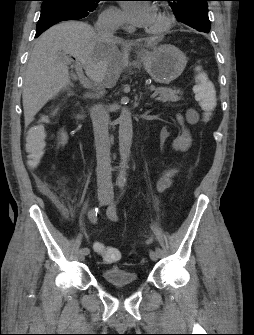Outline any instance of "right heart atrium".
Listing matches in <instances>:
<instances>
[{
  "label": "right heart atrium",
  "mask_w": 254,
  "mask_h": 335,
  "mask_svg": "<svg viewBox=\"0 0 254 335\" xmlns=\"http://www.w3.org/2000/svg\"><path fill=\"white\" fill-rule=\"evenodd\" d=\"M100 23H116L122 25L124 18L122 12L116 7H109L99 16Z\"/></svg>",
  "instance_id": "1"
}]
</instances>
